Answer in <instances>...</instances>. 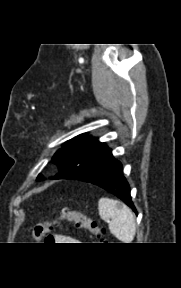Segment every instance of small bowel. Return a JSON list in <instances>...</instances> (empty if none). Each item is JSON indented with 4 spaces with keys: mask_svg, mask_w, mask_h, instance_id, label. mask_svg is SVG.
<instances>
[{
    "mask_svg": "<svg viewBox=\"0 0 181 288\" xmlns=\"http://www.w3.org/2000/svg\"><path fill=\"white\" fill-rule=\"evenodd\" d=\"M53 242L55 243H79V241L73 237L63 235V234H56L52 237Z\"/></svg>",
    "mask_w": 181,
    "mask_h": 288,
    "instance_id": "obj_1",
    "label": "small bowel"
}]
</instances>
